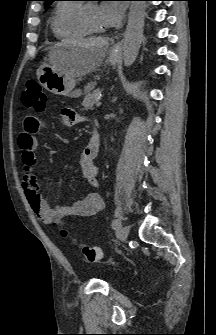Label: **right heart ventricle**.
Masks as SVG:
<instances>
[{
  "label": "right heart ventricle",
  "instance_id": "right-heart-ventricle-1",
  "mask_svg": "<svg viewBox=\"0 0 216 335\" xmlns=\"http://www.w3.org/2000/svg\"><path fill=\"white\" fill-rule=\"evenodd\" d=\"M82 5L62 2L58 4L51 20V29L59 39H79L89 35L81 21Z\"/></svg>",
  "mask_w": 216,
  "mask_h": 335
}]
</instances>
